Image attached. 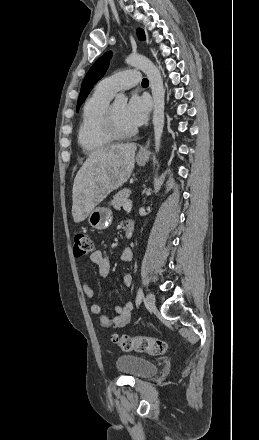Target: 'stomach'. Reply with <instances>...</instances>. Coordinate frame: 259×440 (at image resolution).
<instances>
[{
    "instance_id": "obj_1",
    "label": "stomach",
    "mask_w": 259,
    "mask_h": 440,
    "mask_svg": "<svg viewBox=\"0 0 259 440\" xmlns=\"http://www.w3.org/2000/svg\"><path fill=\"white\" fill-rule=\"evenodd\" d=\"M147 157H137L136 162L139 166L146 164ZM113 220L111 209L107 207H96L88 215L89 225L97 230L107 229Z\"/></svg>"
}]
</instances>
